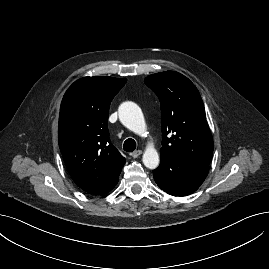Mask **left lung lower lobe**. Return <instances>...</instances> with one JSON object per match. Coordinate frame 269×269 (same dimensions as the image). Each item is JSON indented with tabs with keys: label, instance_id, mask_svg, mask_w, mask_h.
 <instances>
[{
	"label": "left lung lower lobe",
	"instance_id": "0a47b994",
	"mask_svg": "<svg viewBox=\"0 0 269 269\" xmlns=\"http://www.w3.org/2000/svg\"><path fill=\"white\" fill-rule=\"evenodd\" d=\"M161 163L153 171L157 185L173 196H186L196 191L205 180L209 165L169 153H160Z\"/></svg>",
	"mask_w": 269,
	"mask_h": 269
}]
</instances>
